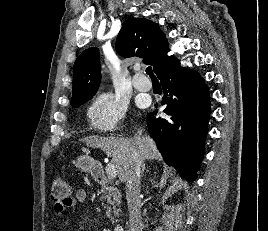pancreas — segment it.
<instances>
[{
    "instance_id": "1",
    "label": "pancreas",
    "mask_w": 268,
    "mask_h": 231,
    "mask_svg": "<svg viewBox=\"0 0 268 231\" xmlns=\"http://www.w3.org/2000/svg\"><path fill=\"white\" fill-rule=\"evenodd\" d=\"M100 194L101 201L107 203V206H105L107 217L112 223L117 222L116 217L119 216L121 202L119 191L114 186L109 185V181H105L101 184Z\"/></svg>"
}]
</instances>
